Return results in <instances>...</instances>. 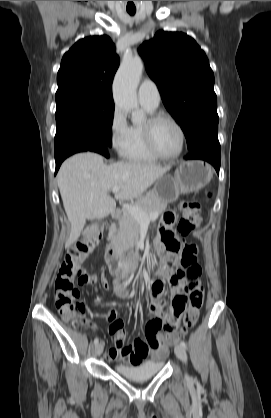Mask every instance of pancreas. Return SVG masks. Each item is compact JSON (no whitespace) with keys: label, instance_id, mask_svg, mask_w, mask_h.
I'll return each mask as SVG.
<instances>
[{"label":"pancreas","instance_id":"cf45deb5","mask_svg":"<svg viewBox=\"0 0 271 418\" xmlns=\"http://www.w3.org/2000/svg\"><path fill=\"white\" fill-rule=\"evenodd\" d=\"M135 206L141 208L146 213H157L158 216L165 210L166 203H164L157 193L150 191L146 196L140 198L134 203ZM141 225L128 211L124 210L120 219L118 227L111 229L110 236L117 240L123 247L134 245L139 240Z\"/></svg>","mask_w":271,"mask_h":418}]
</instances>
